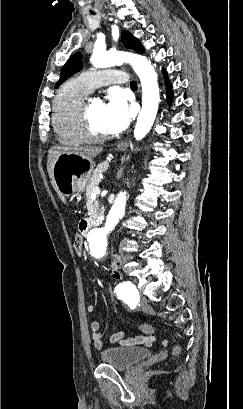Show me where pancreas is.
<instances>
[{
    "mask_svg": "<svg viewBox=\"0 0 243 409\" xmlns=\"http://www.w3.org/2000/svg\"><path fill=\"white\" fill-rule=\"evenodd\" d=\"M108 169V163H101L99 164L91 173L89 177L88 184L86 186V200H87V205L90 206V201H91V194L93 192V189L97 187L100 183V178L99 174L102 172H105ZM93 213L91 217L97 218L103 213V208H100L99 201L94 200L93 202Z\"/></svg>",
    "mask_w": 243,
    "mask_h": 409,
    "instance_id": "1",
    "label": "pancreas"
}]
</instances>
